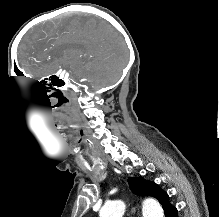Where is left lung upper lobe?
<instances>
[{
	"instance_id": "5c2ea615",
	"label": "left lung upper lobe",
	"mask_w": 219,
	"mask_h": 217,
	"mask_svg": "<svg viewBox=\"0 0 219 217\" xmlns=\"http://www.w3.org/2000/svg\"><path fill=\"white\" fill-rule=\"evenodd\" d=\"M129 186L131 191L139 196H152L155 197L163 209L165 210L171 204L169 203V196L157 184L143 180L141 177L129 178Z\"/></svg>"
}]
</instances>
